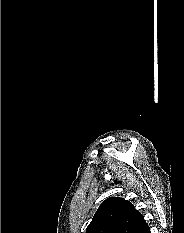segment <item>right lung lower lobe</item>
<instances>
[{
  "instance_id": "1",
  "label": "right lung lower lobe",
  "mask_w": 184,
  "mask_h": 233,
  "mask_svg": "<svg viewBox=\"0 0 184 233\" xmlns=\"http://www.w3.org/2000/svg\"><path fill=\"white\" fill-rule=\"evenodd\" d=\"M136 233H150V229L148 227L147 223H144L137 231Z\"/></svg>"
}]
</instances>
